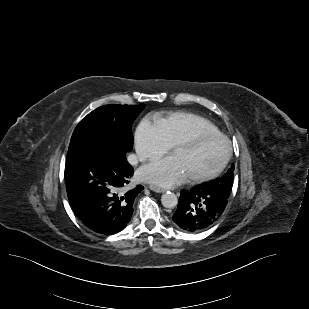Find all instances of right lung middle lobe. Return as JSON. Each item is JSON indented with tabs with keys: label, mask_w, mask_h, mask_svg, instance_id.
Instances as JSON below:
<instances>
[{
	"label": "right lung middle lobe",
	"mask_w": 309,
	"mask_h": 309,
	"mask_svg": "<svg viewBox=\"0 0 309 309\" xmlns=\"http://www.w3.org/2000/svg\"><path fill=\"white\" fill-rule=\"evenodd\" d=\"M144 108V104L101 106L81 120L73 132L71 142L89 136L105 137L129 152L134 142L131 125Z\"/></svg>",
	"instance_id": "obj_1"
}]
</instances>
